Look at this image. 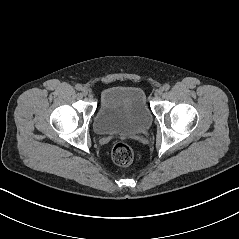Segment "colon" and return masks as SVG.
<instances>
[{
  "label": "colon",
  "mask_w": 239,
  "mask_h": 239,
  "mask_svg": "<svg viewBox=\"0 0 239 239\" xmlns=\"http://www.w3.org/2000/svg\"><path fill=\"white\" fill-rule=\"evenodd\" d=\"M111 157L117 165L129 166L134 160V152L128 144L118 141L112 146Z\"/></svg>",
  "instance_id": "obj_1"
}]
</instances>
